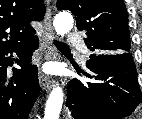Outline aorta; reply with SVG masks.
<instances>
[{
	"label": "aorta",
	"mask_w": 142,
	"mask_h": 119,
	"mask_svg": "<svg viewBox=\"0 0 142 119\" xmlns=\"http://www.w3.org/2000/svg\"><path fill=\"white\" fill-rule=\"evenodd\" d=\"M73 23V16L69 12L58 13L53 20L56 34L61 36L67 34L72 29ZM63 98L62 88L55 87L46 102L44 119H59Z\"/></svg>",
	"instance_id": "1"
}]
</instances>
